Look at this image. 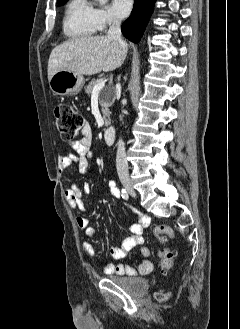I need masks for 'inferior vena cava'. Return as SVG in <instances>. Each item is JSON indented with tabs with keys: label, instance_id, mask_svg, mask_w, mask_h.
I'll return each mask as SVG.
<instances>
[{
	"label": "inferior vena cava",
	"instance_id": "602c4592",
	"mask_svg": "<svg viewBox=\"0 0 240 329\" xmlns=\"http://www.w3.org/2000/svg\"><path fill=\"white\" fill-rule=\"evenodd\" d=\"M121 20L119 18H113L112 24L109 27L107 37L117 41L122 48H126L127 44L121 38ZM120 88V84H117ZM117 155H116V168L118 175H128V162L126 159L125 143L122 139H119L117 143Z\"/></svg>",
	"mask_w": 240,
	"mask_h": 329
}]
</instances>
